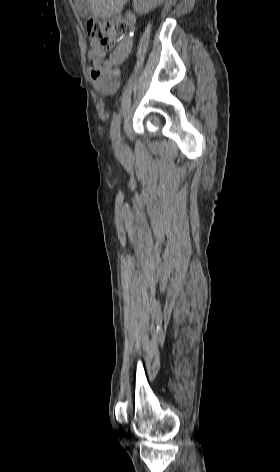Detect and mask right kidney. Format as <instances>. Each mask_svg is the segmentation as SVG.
Masks as SVG:
<instances>
[{
	"label": "right kidney",
	"mask_w": 280,
	"mask_h": 472,
	"mask_svg": "<svg viewBox=\"0 0 280 472\" xmlns=\"http://www.w3.org/2000/svg\"><path fill=\"white\" fill-rule=\"evenodd\" d=\"M162 0H134L133 6L137 13L146 14L157 7Z\"/></svg>",
	"instance_id": "right-kidney-1"
}]
</instances>
